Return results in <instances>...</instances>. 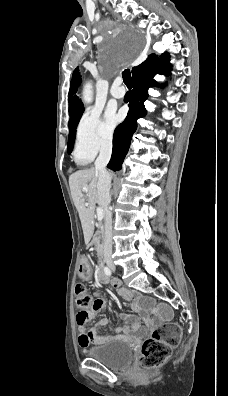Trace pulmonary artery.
Returning a JSON list of instances; mask_svg holds the SVG:
<instances>
[{"label":"pulmonary artery","instance_id":"e3ab8cb5","mask_svg":"<svg viewBox=\"0 0 228 396\" xmlns=\"http://www.w3.org/2000/svg\"><path fill=\"white\" fill-rule=\"evenodd\" d=\"M110 94L112 97L120 99L125 95V90L124 88L121 86V83L119 80H116L110 89Z\"/></svg>","mask_w":228,"mask_h":396}]
</instances>
